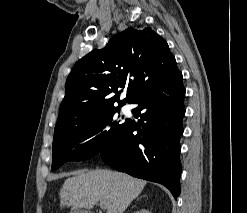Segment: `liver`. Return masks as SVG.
<instances>
[{
	"label": "liver",
	"mask_w": 247,
	"mask_h": 213,
	"mask_svg": "<svg viewBox=\"0 0 247 213\" xmlns=\"http://www.w3.org/2000/svg\"><path fill=\"white\" fill-rule=\"evenodd\" d=\"M145 185L146 181L125 173L92 170L66 179L59 196L62 207L91 209L104 202L106 213H123Z\"/></svg>",
	"instance_id": "6515ba94"
}]
</instances>
